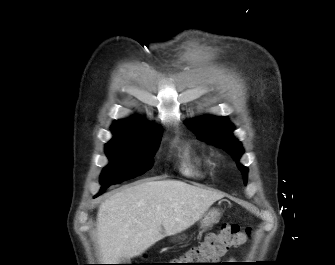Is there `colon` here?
<instances>
[{
  "mask_svg": "<svg viewBox=\"0 0 335 265\" xmlns=\"http://www.w3.org/2000/svg\"><path fill=\"white\" fill-rule=\"evenodd\" d=\"M250 230L238 224H227L217 232L206 237L197 247L187 251L181 257L184 265H213L230 248L244 244L249 238Z\"/></svg>",
  "mask_w": 335,
  "mask_h": 265,
  "instance_id": "colon-1",
  "label": "colon"
}]
</instances>
